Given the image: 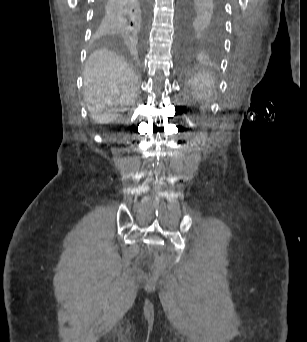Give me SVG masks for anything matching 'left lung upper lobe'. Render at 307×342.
Returning <instances> with one entry per match:
<instances>
[{"instance_id":"5c2ea615","label":"left lung upper lobe","mask_w":307,"mask_h":342,"mask_svg":"<svg viewBox=\"0 0 307 342\" xmlns=\"http://www.w3.org/2000/svg\"><path fill=\"white\" fill-rule=\"evenodd\" d=\"M180 43L186 53L220 52L224 37L223 0H181Z\"/></svg>"}]
</instances>
